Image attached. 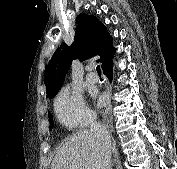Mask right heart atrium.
Listing matches in <instances>:
<instances>
[{"instance_id": "d8ad5b80", "label": "right heart atrium", "mask_w": 177, "mask_h": 169, "mask_svg": "<svg viewBox=\"0 0 177 169\" xmlns=\"http://www.w3.org/2000/svg\"><path fill=\"white\" fill-rule=\"evenodd\" d=\"M58 122L67 129L84 127L94 119L93 112L86 106L82 95L68 87L62 88L54 100Z\"/></svg>"}]
</instances>
